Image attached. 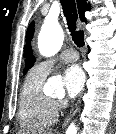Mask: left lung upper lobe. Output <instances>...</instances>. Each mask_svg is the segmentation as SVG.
<instances>
[{
    "instance_id": "left-lung-upper-lobe-1",
    "label": "left lung upper lobe",
    "mask_w": 116,
    "mask_h": 134,
    "mask_svg": "<svg viewBox=\"0 0 116 134\" xmlns=\"http://www.w3.org/2000/svg\"><path fill=\"white\" fill-rule=\"evenodd\" d=\"M32 35H33V24H31L28 28L27 34H26V42L29 48V54L27 57V61H26V68L24 70V73H26L28 71V69L33 65V63L35 62V58L32 54V50H31V46H30V42L32 39Z\"/></svg>"
}]
</instances>
